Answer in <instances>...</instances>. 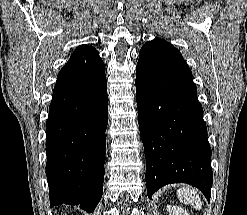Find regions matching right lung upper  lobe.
<instances>
[{
	"label": "right lung upper lobe",
	"mask_w": 247,
	"mask_h": 215,
	"mask_svg": "<svg viewBox=\"0 0 247 215\" xmlns=\"http://www.w3.org/2000/svg\"><path fill=\"white\" fill-rule=\"evenodd\" d=\"M92 49H94V48L90 47L88 45H81V46L76 48V50L73 52V54L85 52V51L92 50Z\"/></svg>",
	"instance_id": "1"
}]
</instances>
